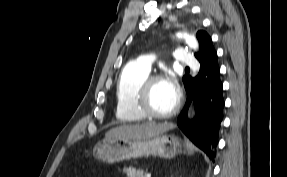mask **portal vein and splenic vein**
<instances>
[{
	"mask_svg": "<svg viewBox=\"0 0 287 177\" xmlns=\"http://www.w3.org/2000/svg\"><path fill=\"white\" fill-rule=\"evenodd\" d=\"M146 177H151V175H150V174H147Z\"/></svg>",
	"mask_w": 287,
	"mask_h": 177,
	"instance_id": "18ae733b",
	"label": "portal vein and splenic vein"
}]
</instances>
